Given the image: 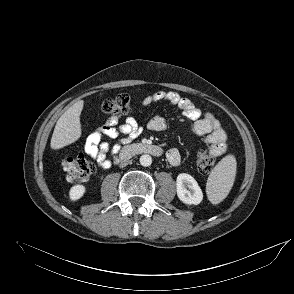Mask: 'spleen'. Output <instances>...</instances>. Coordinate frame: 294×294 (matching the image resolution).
<instances>
[{"label":"spleen","mask_w":294,"mask_h":294,"mask_svg":"<svg viewBox=\"0 0 294 294\" xmlns=\"http://www.w3.org/2000/svg\"><path fill=\"white\" fill-rule=\"evenodd\" d=\"M236 175V160L228 155L212 170L208 177L206 192L212 204H219L230 192Z\"/></svg>","instance_id":"3e777b00"}]
</instances>
